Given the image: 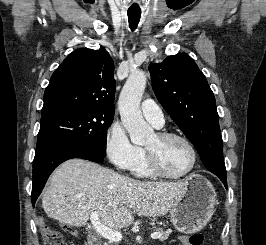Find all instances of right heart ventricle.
Wrapping results in <instances>:
<instances>
[{"label": "right heart ventricle", "mask_w": 266, "mask_h": 245, "mask_svg": "<svg viewBox=\"0 0 266 245\" xmlns=\"http://www.w3.org/2000/svg\"><path fill=\"white\" fill-rule=\"evenodd\" d=\"M134 174L139 177V178H144V179H149L152 178L153 175L150 172L147 162H146V158L142 157V159L140 160V162L138 163V165L136 166V168L134 169Z\"/></svg>", "instance_id": "right-heart-ventricle-1"}]
</instances>
